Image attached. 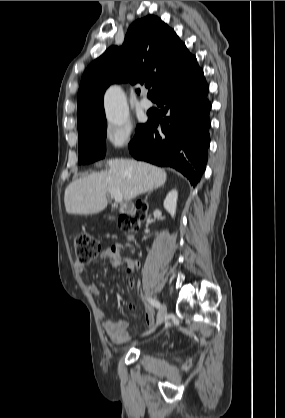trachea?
Returning <instances> with one entry per match:
<instances>
[{
	"instance_id": "1",
	"label": "trachea",
	"mask_w": 285,
	"mask_h": 418,
	"mask_svg": "<svg viewBox=\"0 0 285 418\" xmlns=\"http://www.w3.org/2000/svg\"><path fill=\"white\" fill-rule=\"evenodd\" d=\"M147 88H150V84L146 85Z\"/></svg>"
}]
</instances>
